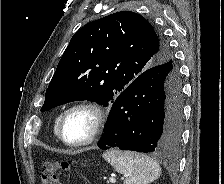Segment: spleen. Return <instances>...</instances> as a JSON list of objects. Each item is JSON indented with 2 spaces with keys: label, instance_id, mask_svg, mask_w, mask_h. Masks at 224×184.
Listing matches in <instances>:
<instances>
[{
  "label": "spleen",
  "instance_id": "spleen-1",
  "mask_svg": "<svg viewBox=\"0 0 224 184\" xmlns=\"http://www.w3.org/2000/svg\"><path fill=\"white\" fill-rule=\"evenodd\" d=\"M102 156L118 173L126 175L124 184H149L161 175L160 165L140 153L111 150Z\"/></svg>",
  "mask_w": 224,
  "mask_h": 184
}]
</instances>
